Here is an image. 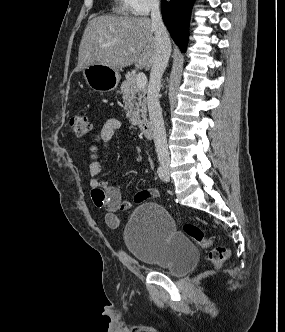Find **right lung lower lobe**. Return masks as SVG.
Returning a JSON list of instances; mask_svg holds the SVG:
<instances>
[{
    "mask_svg": "<svg viewBox=\"0 0 285 332\" xmlns=\"http://www.w3.org/2000/svg\"><path fill=\"white\" fill-rule=\"evenodd\" d=\"M194 0H162L163 20L173 40L185 52L188 41L189 16Z\"/></svg>",
    "mask_w": 285,
    "mask_h": 332,
    "instance_id": "obj_1",
    "label": "right lung lower lobe"
}]
</instances>
